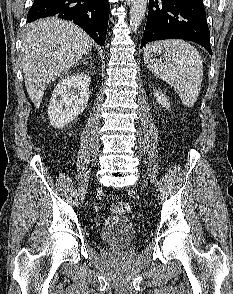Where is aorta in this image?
Here are the masks:
<instances>
[{"instance_id":"aorta-1","label":"aorta","mask_w":233,"mask_h":294,"mask_svg":"<svg viewBox=\"0 0 233 294\" xmlns=\"http://www.w3.org/2000/svg\"><path fill=\"white\" fill-rule=\"evenodd\" d=\"M130 2L129 23L136 29L145 18L148 0H130Z\"/></svg>"}]
</instances>
